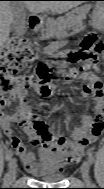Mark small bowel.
<instances>
[{
	"label": "small bowel",
	"instance_id": "small-bowel-1",
	"mask_svg": "<svg viewBox=\"0 0 104 189\" xmlns=\"http://www.w3.org/2000/svg\"><path fill=\"white\" fill-rule=\"evenodd\" d=\"M80 80L84 82L82 96L93 98L96 108L94 116H86L81 126L73 131L72 139L61 134H49V138H41L33 128V123L41 118L35 115L30 97L26 92L18 95L21 103L14 113H7L3 110L0 112L2 130L29 173L38 176L43 171H64L69 165L77 162L84 149L101 135L104 127L102 84L99 78L90 72L82 73ZM8 105L9 99L2 97L0 99L1 108L4 109ZM41 110L46 112L44 106ZM15 123L23 128L33 144L39 145L36 153L18 138L13 129Z\"/></svg>",
	"mask_w": 104,
	"mask_h": 189
}]
</instances>
